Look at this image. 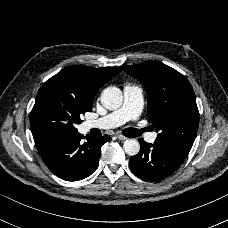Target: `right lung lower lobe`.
<instances>
[{
    "label": "right lung lower lobe",
    "mask_w": 228,
    "mask_h": 228,
    "mask_svg": "<svg viewBox=\"0 0 228 228\" xmlns=\"http://www.w3.org/2000/svg\"><path fill=\"white\" fill-rule=\"evenodd\" d=\"M84 136L78 131L49 136L36 141V146L47 167L58 177L78 181L91 175L98 166L101 147L110 141L103 137Z\"/></svg>",
    "instance_id": "1"
}]
</instances>
